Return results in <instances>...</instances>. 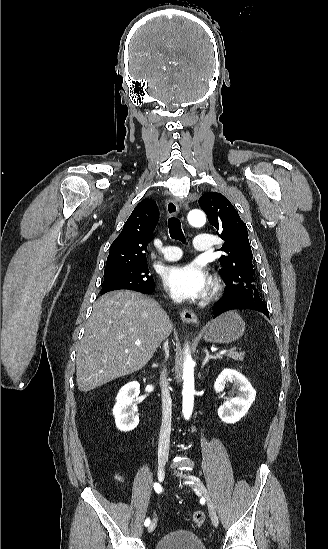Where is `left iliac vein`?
<instances>
[{"mask_svg":"<svg viewBox=\"0 0 328 549\" xmlns=\"http://www.w3.org/2000/svg\"><path fill=\"white\" fill-rule=\"evenodd\" d=\"M177 475L180 478L185 477L182 473H178ZM187 477L194 482V483H192V487L197 492H200L203 495V497L205 498V501H206L207 506H208V511H209V515H210L212 524L215 527H217L218 523H219L218 516H217L216 509L214 507V504L212 503L211 497H210L206 487L204 486V484L198 478H196L194 476H191V475H188Z\"/></svg>","mask_w":328,"mask_h":549,"instance_id":"obj_1","label":"left iliac vein"}]
</instances>
